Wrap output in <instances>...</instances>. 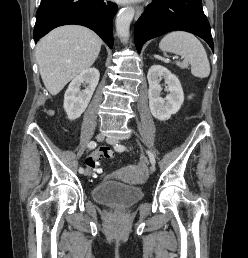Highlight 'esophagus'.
Returning <instances> with one entry per match:
<instances>
[{
	"label": "esophagus",
	"mask_w": 248,
	"mask_h": 258,
	"mask_svg": "<svg viewBox=\"0 0 248 258\" xmlns=\"http://www.w3.org/2000/svg\"><path fill=\"white\" fill-rule=\"evenodd\" d=\"M142 11H143V8L141 6H136V8H135V12H136L135 19H137L141 15Z\"/></svg>",
	"instance_id": "obj_1"
}]
</instances>
